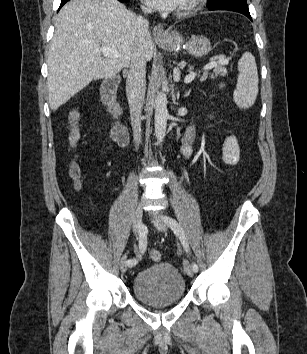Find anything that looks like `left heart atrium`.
<instances>
[{"label":"left heart atrium","instance_id":"left-heart-atrium-1","mask_svg":"<svg viewBox=\"0 0 307 354\" xmlns=\"http://www.w3.org/2000/svg\"><path fill=\"white\" fill-rule=\"evenodd\" d=\"M184 0H146L151 6L162 11H173L179 9Z\"/></svg>","mask_w":307,"mask_h":354}]
</instances>
